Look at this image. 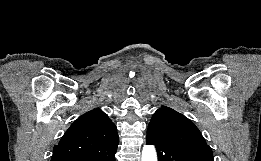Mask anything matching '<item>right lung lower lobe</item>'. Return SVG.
Listing matches in <instances>:
<instances>
[{
    "instance_id": "obj_1",
    "label": "right lung lower lobe",
    "mask_w": 261,
    "mask_h": 161,
    "mask_svg": "<svg viewBox=\"0 0 261 161\" xmlns=\"http://www.w3.org/2000/svg\"><path fill=\"white\" fill-rule=\"evenodd\" d=\"M117 146L103 152L78 156L67 161H115V153L117 151Z\"/></svg>"
}]
</instances>
